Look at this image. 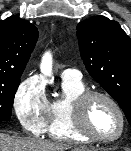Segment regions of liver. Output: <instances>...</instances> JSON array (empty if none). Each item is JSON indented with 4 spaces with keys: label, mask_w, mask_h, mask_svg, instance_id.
Returning <instances> with one entry per match:
<instances>
[{
    "label": "liver",
    "mask_w": 131,
    "mask_h": 151,
    "mask_svg": "<svg viewBox=\"0 0 131 151\" xmlns=\"http://www.w3.org/2000/svg\"><path fill=\"white\" fill-rule=\"evenodd\" d=\"M71 146L59 142H49L31 138H19L0 133V151H66ZM75 151L86 149L75 148Z\"/></svg>",
    "instance_id": "6515ba94"
}]
</instances>
